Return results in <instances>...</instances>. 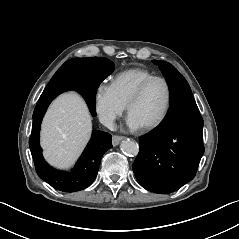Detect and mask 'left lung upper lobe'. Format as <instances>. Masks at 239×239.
I'll use <instances>...</instances> for the list:
<instances>
[{
	"mask_svg": "<svg viewBox=\"0 0 239 239\" xmlns=\"http://www.w3.org/2000/svg\"><path fill=\"white\" fill-rule=\"evenodd\" d=\"M159 65L171 89V102L185 95H191V89L186 79L177 71L175 67L165 61L153 60Z\"/></svg>",
	"mask_w": 239,
	"mask_h": 239,
	"instance_id": "left-lung-upper-lobe-1",
	"label": "left lung upper lobe"
}]
</instances>
